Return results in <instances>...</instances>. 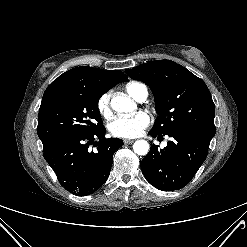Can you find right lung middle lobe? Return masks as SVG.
<instances>
[{
    "instance_id": "right-lung-middle-lobe-1",
    "label": "right lung middle lobe",
    "mask_w": 247,
    "mask_h": 247,
    "mask_svg": "<svg viewBox=\"0 0 247 247\" xmlns=\"http://www.w3.org/2000/svg\"><path fill=\"white\" fill-rule=\"evenodd\" d=\"M104 93L100 89L82 87L42 100L37 128L42 143L68 134L91 133L103 127L97 105Z\"/></svg>"
}]
</instances>
